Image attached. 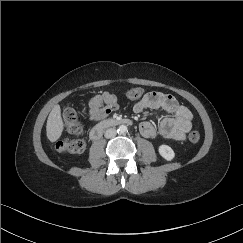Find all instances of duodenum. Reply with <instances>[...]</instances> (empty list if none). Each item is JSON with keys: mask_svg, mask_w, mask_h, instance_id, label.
Returning <instances> with one entry per match:
<instances>
[{"mask_svg": "<svg viewBox=\"0 0 243 243\" xmlns=\"http://www.w3.org/2000/svg\"><path fill=\"white\" fill-rule=\"evenodd\" d=\"M132 121L130 119L126 118H109L105 119L101 122H99L97 125H95L90 133L89 137L92 141H97L101 138L102 134L105 130H107L110 127L113 126H119V125H131Z\"/></svg>", "mask_w": 243, "mask_h": 243, "instance_id": "duodenum-1", "label": "duodenum"}]
</instances>
